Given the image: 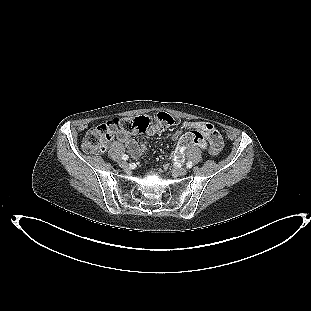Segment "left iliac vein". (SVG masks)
Listing matches in <instances>:
<instances>
[{
  "label": "left iliac vein",
  "mask_w": 311,
  "mask_h": 311,
  "mask_svg": "<svg viewBox=\"0 0 311 311\" xmlns=\"http://www.w3.org/2000/svg\"><path fill=\"white\" fill-rule=\"evenodd\" d=\"M188 170L186 168H175L173 170V173L178 175V176H183L185 174H187Z\"/></svg>",
  "instance_id": "1"
}]
</instances>
